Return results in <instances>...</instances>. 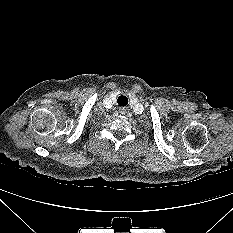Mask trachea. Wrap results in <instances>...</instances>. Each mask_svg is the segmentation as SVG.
<instances>
[{
    "label": "trachea",
    "mask_w": 233,
    "mask_h": 233,
    "mask_svg": "<svg viewBox=\"0 0 233 233\" xmlns=\"http://www.w3.org/2000/svg\"><path fill=\"white\" fill-rule=\"evenodd\" d=\"M117 103L120 105V106H125L127 103H128V99L126 96H120L117 100Z\"/></svg>",
    "instance_id": "1"
}]
</instances>
